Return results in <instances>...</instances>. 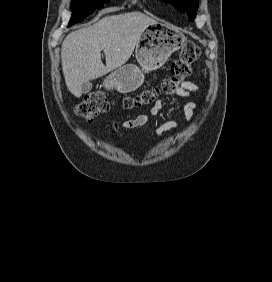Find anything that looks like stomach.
Instances as JSON below:
<instances>
[{"mask_svg": "<svg viewBox=\"0 0 272 282\" xmlns=\"http://www.w3.org/2000/svg\"><path fill=\"white\" fill-rule=\"evenodd\" d=\"M184 35L169 25L154 23L141 34L135 55L140 67L126 64L112 72L104 81L108 89L120 93L135 91L144 81V72L162 67L184 41Z\"/></svg>", "mask_w": 272, "mask_h": 282, "instance_id": "stomach-1", "label": "stomach"}]
</instances>
